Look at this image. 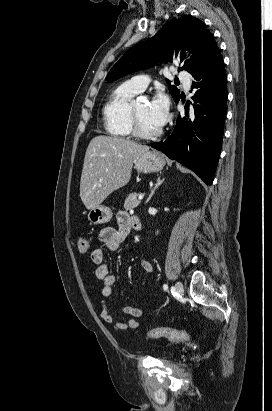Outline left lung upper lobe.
I'll list each match as a JSON object with an SVG mask.
<instances>
[{
	"mask_svg": "<svg viewBox=\"0 0 272 411\" xmlns=\"http://www.w3.org/2000/svg\"><path fill=\"white\" fill-rule=\"evenodd\" d=\"M181 50L180 62L183 66L178 70H186L195 77L218 49L217 43L204 23L190 15L180 19H172L165 24L155 36L129 49L111 68L105 80L113 82L129 73L146 69L158 62H168L173 52ZM192 53V58L185 60L184 52ZM176 54V56H177ZM169 84V91L176 102L180 98V90Z\"/></svg>",
	"mask_w": 272,
	"mask_h": 411,
	"instance_id": "5c2ea615",
	"label": "left lung upper lobe"
}]
</instances>
